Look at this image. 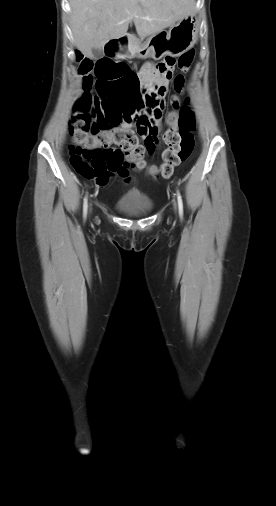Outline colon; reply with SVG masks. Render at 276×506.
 <instances>
[{
    "label": "colon",
    "instance_id": "obj_1",
    "mask_svg": "<svg viewBox=\"0 0 276 506\" xmlns=\"http://www.w3.org/2000/svg\"><path fill=\"white\" fill-rule=\"evenodd\" d=\"M68 55L79 63L78 74L83 90L75 102L69 124L73 138L69 160L73 169L87 179H95L106 172L112 157L125 160L126 166L134 170L145 169L144 156L155 148L158 141L157 135L151 132V120L165 96L164 88L143 85L139 90L137 80L142 77L141 70L123 66L133 57L106 59L99 54L94 64L85 50H72ZM194 56V49H190L177 61L168 57L158 65V70L170 79L177 63L181 73L173 79L176 93L183 91L184 73L191 68ZM92 70L95 71V80ZM93 84L98 97L88 93ZM171 105L172 110L166 118L169 127L162 135L167 148L162 154L163 163L148 169L152 177H171L174 168L188 160L194 150L195 118L192 109L182 105L177 96L172 97ZM117 124L136 125L139 134H146L144 144L139 143L134 131Z\"/></svg>",
    "mask_w": 276,
    "mask_h": 506
}]
</instances>
